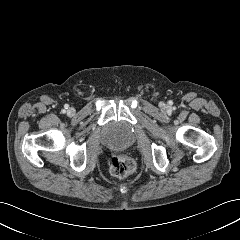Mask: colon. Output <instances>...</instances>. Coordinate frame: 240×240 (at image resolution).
I'll return each instance as SVG.
<instances>
[{
  "label": "colon",
  "mask_w": 240,
  "mask_h": 240,
  "mask_svg": "<svg viewBox=\"0 0 240 240\" xmlns=\"http://www.w3.org/2000/svg\"><path fill=\"white\" fill-rule=\"evenodd\" d=\"M136 170L133 158L126 154H113L109 159V171L118 178L128 177Z\"/></svg>",
  "instance_id": "obj_1"
}]
</instances>
